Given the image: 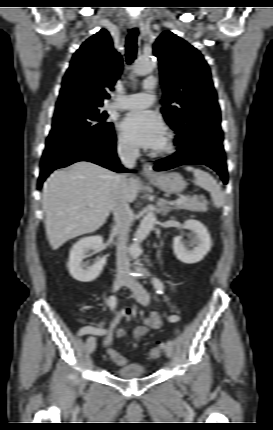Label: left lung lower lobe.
Segmentation results:
<instances>
[{
	"instance_id": "0a47b994",
	"label": "left lung lower lobe",
	"mask_w": 273,
	"mask_h": 430,
	"mask_svg": "<svg viewBox=\"0 0 273 430\" xmlns=\"http://www.w3.org/2000/svg\"><path fill=\"white\" fill-rule=\"evenodd\" d=\"M220 121L202 118L195 125L177 134L178 151L165 159L157 160L156 171L168 170L185 164H204L214 169L227 184V166L222 146Z\"/></svg>"
}]
</instances>
